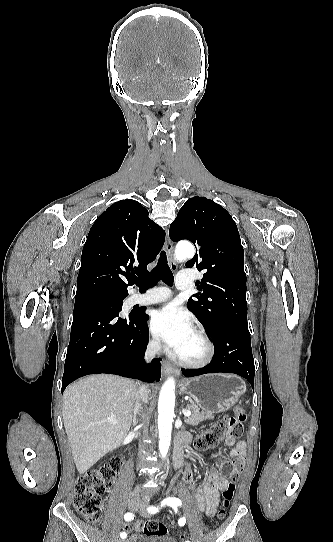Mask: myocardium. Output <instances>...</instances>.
Returning a JSON list of instances; mask_svg holds the SVG:
<instances>
[{"label":"myocardium","mask_w":333,"mask_h":542,"mask_svg":"<svg viewBox=\"0 0 333 542\" xmlns=\"http://www.w3.org/2000/svg\"><path fill=\"white\" fill-rule=\"evenodd\" d=\"M194 332L196 333L204 347V353L200 358L195 360L182 359L175 356L174 354L169 353V357L179 366L186 368H203L209 365L214 358V344L212 343L207 333L200 327L195 328Z\"/></svg>","instance_id":"obj_1"}]
</instances>
